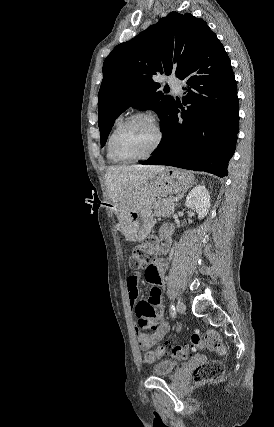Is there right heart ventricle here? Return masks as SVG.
I'll list each match as a JSON object with an SVG mask.
<instances>
[{
	"mask_svg": "<svg viewBox=\"0 0 274 427\" xmlns=\"http://www.w3.org/2000/svg\"><path fill=\"white\" fill-rule=\"evenodd\" d=\"M107 159H108V161H109L110 163H114V164L120 163L118 160H116V159L113 157V155L111 154V152H110V150H109V147H108V146H107Z\"/></svg>",
	"mask_w": 274,
	"mask_h": 427,
	"instance_id": "1",
	"label": "right heart ventricle"
}]
</instances>
